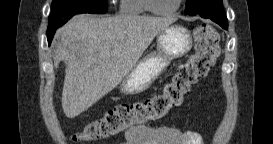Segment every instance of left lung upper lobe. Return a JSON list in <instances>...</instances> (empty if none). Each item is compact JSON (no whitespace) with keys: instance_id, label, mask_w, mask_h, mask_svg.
Segmentation results:
<instances>
[{"instance_id":"obj_1","label":"left lung upper lobe","mask_w":273,"mask_h":144,"mask_svg":"<svg viewBox=\"0 0 273 144\" xmlns=\"http://www.w3.org/2000/svg\"><path fill=\"white\" fill-rule=\"evenodd\" d=\"M218 5V7L223 8L222 0H209V3H206L204 0H187L185 14L187 15H196L197 12L205 8H209L211 5Z\"/></svg>"}]
</instances>
